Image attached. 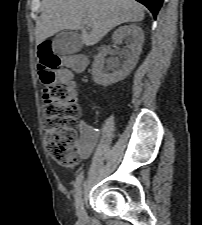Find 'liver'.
I'll use <instances>...</instances> for the list:
<instances>
[{"instance_id":"6515ba94","label":"liver","mask_w":202,"mask_h":225,"mask_svg":"<svg viewBox=\"0 0 202 225\" xmlns=\"http://www.w3.org/2000/svg\"><path fill=\"white\" fill-rule=\"evenodd\" d=\"M143 19V6L135 0H43L36 44L61 30H81L83 44L92 46L114 27Z\"/></svg>"}]
</instances>
